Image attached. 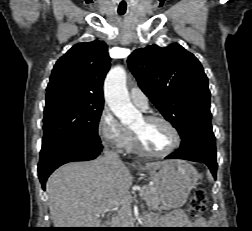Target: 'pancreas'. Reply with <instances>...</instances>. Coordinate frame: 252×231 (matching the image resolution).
<instances>
[{
  "instance_id": "obj_1",
  "label": "pancreas",
  "mask_w": 252,
  "mask_h": 231,
  "mask_svg": "<svg viewBox=\"0 0 252 231\" xmlns=\"http://www.w3.org/2000/svg\"><path fill=\"white\" fill-rule=\"evenodd\" d=\"M142 198L146 201V204L152 208H158L160 201L157 195V190L154 186H145L144 191L141 193ZM129 205L124 202L123 207L114 217L115 225L124 227L129 224L128 222Z\"/></svg>"
}]
</instances>
